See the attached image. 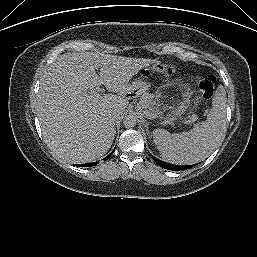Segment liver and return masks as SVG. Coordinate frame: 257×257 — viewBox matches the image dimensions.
<instances>
[{"mask_svg": "<svg viewBox=\"0 0 257 257\" xmlns=\"http://www.w3.org/2000/svg\"><path fill=\"white\" fill-rule=\"evenodd\" d=\"M154 62L98 51L59 56L44 73L37 100L42 134L50 150L69 163L89 162L107 153L116 133L110 115L123 113L129 104L126 94L133 90L129 81ZM99 85L117 95L84 98Z\"/></svg>", "mask_w": 257, "mask_h": 257, "instance_id": "1", "label": "liver"}]
</instances>
